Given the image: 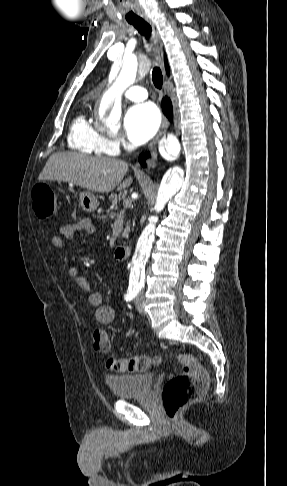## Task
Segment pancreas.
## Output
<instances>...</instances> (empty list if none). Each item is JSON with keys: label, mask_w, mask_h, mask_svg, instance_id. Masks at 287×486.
I'll list each match as a JSON object with an SVG mask.
<instances>
[{"label": "pancreas", "mask_w": 287, "mask_h": 486, "mask_svg": "<svg viewBox=\"0 0 287 486\" xmlns=\"http://www.w3.org/2000/svg\"><path fill=\"white\" fill-rule=\"evenodd\" d=\"M109 199H110V201H111V203H112V207H113L114 209H116V208H117L118 204H119L121 201H123L124 208H128V207H130V205H131V201H130V199H126V198H125V196H124L123 194H121V193H120V194H118V195H117V194H112V195L109 197ZM126 201H129V202H130V204H129V205H125ZM122 212H124V210H122ZM129 232H130V224H129V222H127V223H126V228H125V230H124V232H123L122 236H123V237H128Z\"/></svg>", "instance_id": "cf45deb5"}]
</instances>
